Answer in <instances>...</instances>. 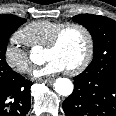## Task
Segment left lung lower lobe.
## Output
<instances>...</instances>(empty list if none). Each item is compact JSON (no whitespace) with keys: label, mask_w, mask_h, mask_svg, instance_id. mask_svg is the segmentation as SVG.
<instances>
[{"label":"left lung lower lobe","mask_w":116,"mask_h":116,"mask_svg":"<svg viewBox=\"0 0 116 116\" xmlns=\"http://www.w3.org/2000/svg\"><path fill=\"white\" fill-rule=\"evenodd\" d=\"M73 79L74 90L62 104L66 116H116V71Z\"/></svg>","instance_id":"obj_1"}]
</instances>
